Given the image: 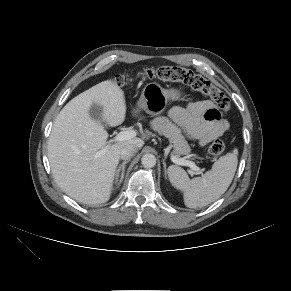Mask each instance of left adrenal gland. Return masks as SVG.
I'll list each match as a JSON object with an SVG mask.
<instances>
[{
    "instance_id": "left-adrenal-gland-1",
    "label": "left adrenal gland",
    "mask_w": 291,
    "mask_h": 291,
    "mask_svg": "<svg viewBox=\"0 0 291 291\" xmlns=\"http://www.w3.org/2000/svg\"><path fill=\"white\" fill-rule=\"evenodd\" d=\"M163 167H164V172H165V177H166L167 170H166V162H165V159H163Z\"/></svg>"
}]
</instances>
